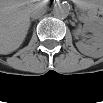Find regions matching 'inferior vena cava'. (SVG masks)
Returning a JSON list of instances; mask_svg holds the SVG:
<instances>
[{"label":"inferior vena cava","instance_id":"602c4592","mask_svg":"<svg viewBox=\"0 0 103 103\" xmlns=\"http://www.w3.org/2000/svg\"><path fill=\"white\" fill-rule=\"evenodd\" d=\"M45 12H46V6L45 5L35 4L31 8L30 16L33 19H37V18L41 17Z\"/></svg>","mask_w":103,"mask_h":103}]
</instances>
